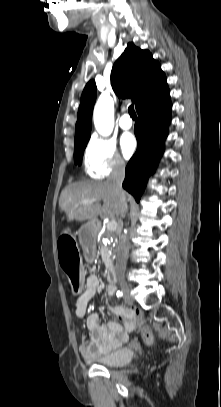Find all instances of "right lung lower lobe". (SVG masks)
I'll return each instance as SVG.
<instances>
[{"mask_svg":"<svg viewBox=\"0 0 221 407\" xmlns=\"http://www.w3.org/2000/svg\"><path fill=\"white\" fill-rule=\"evenodd\" d=\"M172 104L168 86L139 109L135 135L138 147L127 164L123 188L131 193L137 202L164 151L167 128L171 121Z\"/></svg>","mask_w":221,"mask_h":407,"instance_id":"right-lung-lower-lobe-1","label":"right lung lower lobe"}]
</instances>
